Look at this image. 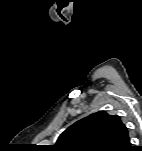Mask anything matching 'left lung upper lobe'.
Masks as SVG:
<instances>
[{
  "instance_id": "5c2ea615",
  "label": "left lung upper lobe",
  "mask_w": 142,
  "mask_h": 151,
  "mask_svg": "<svg viewBox=\"0 0 142 151\" xmlns=\"http://www.w3.org/2000/svg\"><path fill=\"white\" fill-rule=\"evenodd\" d=\"M55 147L62 151H128L131 143L120 117L99 111L68 127Z\"/></svg>"
}]
</instances>
